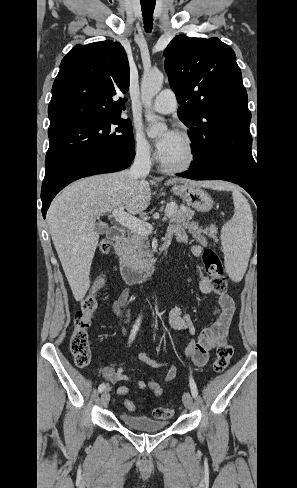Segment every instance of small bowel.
<instances>
[{
  "mask_svg": "<svg viewBox=\"0 0 297 488\" xmlns=\"http://www.w3.org/2000/svg\"><path fill=\"white\" fill-rule=\"evenodd\" d=\"M188 243L190 241L188 233L181 226H171L164 238V246H170L173 242ZM203 253V247L199 244L191 247V254L194 257H200ZM199 288L204 294H209L213 291L211 282L207 276L203 274L198 268ZM234 302L228 294H220L218 304L213 309L212 315L216 318L215 321L206 329H204L198 337L196 335L195 325L190 316L184 311L182 307H174L170 310L168 321L170 326L175 330L187 331L192 339L187 346L186 356L192 360L197 367L204 366L209 358V352L214 349L220 342H222L228 333V328L234 313ZM114 312L117 317L122 318L124 323H128L130 319L129 307V290H124L113 305ZM122 333L126 334L124 327H121ZM141 362L152 368H160L163 366H170L167 376V382H171L176 376V369L169 362H161L153 359L146 353H141L139 356ZM106 381V388L109 390L112 385L119 381L133 382L142 391L149 389L154 395L159 396L163 392V388L151 376L147 381L140 378L127 375L124 368L121 367L115 370L113 367H104L99 373ZM129 389L126 386H120L117 389V395L127 397Z\"/></svg>",
  "mask_w": 297,
  "mask_h": 488,
  "instance_id": "1",
  "label": "small bowel"
}]
</instances>
